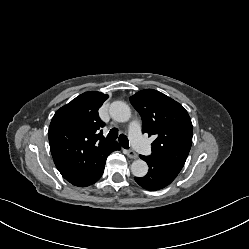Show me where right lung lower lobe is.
Returning a JSON list of instances; mask_svg holds the SVG:
<instances>
[{"mask_svg": "<svg viewBox=\"0 0 249 249\" xmlns=\"http://www.w3.org/2000/svg\"><path fill=\"white\" fill-rule=\"evenodd\" d=\"M115 150H120V145L116 142L112 147H110L99 159L98 163H97V167L94 170V172L92 173V175L88 178V180L81 185V187H85V186H89L93 183H95L97 180L100 179V177L103 174L104 171V166H105V162L106 159L108 157V155Z\"/></svg>", "mask_w": 249, "mask_h": 249, "instance_id": "right-lung-lower-lobe-1", "label": "right lung lower lobe"}]
</instances>
